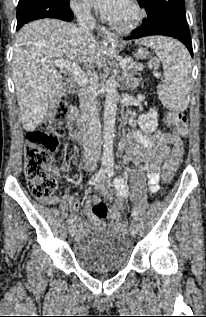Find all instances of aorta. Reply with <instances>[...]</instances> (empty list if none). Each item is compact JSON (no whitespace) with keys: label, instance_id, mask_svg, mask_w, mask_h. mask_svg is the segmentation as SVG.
<instances>
[{"label":"aorta","instance_id":"aorta-1","mask_svg":"<svg viewBox=\"0 0 206 317\" xmlns=\"http://www.w3.org/2000/svg\"><path fill=\"white\" fill-rule=\"evenodd\" d=\"M118 83L114 77L106 81V98L104 105V145L102 165L104 167L113 166V138L116 121L117 101H118Z\"/></svg>","mask_w":206,"mask_h":317}]
</instances>
